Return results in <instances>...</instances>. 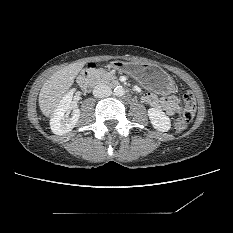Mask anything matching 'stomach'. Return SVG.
Wrapping results in <instances>:
<instances>
[{
  "label": "stomach",
  "mask_w": 233,
  "mask_h": 233,
  "mask_svg": "<svg viewBox=\"0 0 233 233\" xmlns=\"http://www.w3.org/2000/svg\"><path fill=\"white\" fill-rule=\"evenodd\" d=\"M112 68L136 79L145 88L158 94L168 95L173 92L174 81L162 68L151 63L114 61Z\"/></svg>",
  "instance_id": "obj_1"
}]
</instances>
